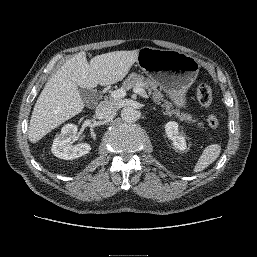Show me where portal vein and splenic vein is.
Segmentation results:
<instances>
[{
  "label": "portal vein and splenic vein",
  "mask_w": 257,
  "mask_h": 257,
  "mask_svg": "<svg viewBox=\"0 0 257 257\" xmlns=\"http://www.w3.org/2000/svg\"><path fill=\"white\" fill-rule=\"evenodd\" d=\"M133 90L135 93H137L143 97L147 96L146 91L139 86L135 87ZM125 95H126L125 89L120 88V89H117V90H114L113 92H111L110 97L113 99H120V98L125 97Z\"/></svg>",
  "instance_id": "1"
}]
</instances>
